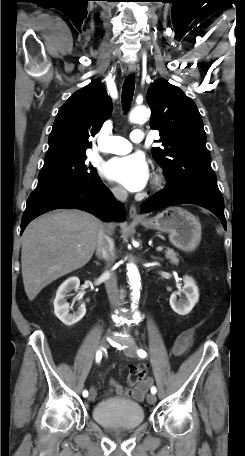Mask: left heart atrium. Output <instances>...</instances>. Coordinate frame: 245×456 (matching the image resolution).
Wrapping results in <instances>:
<instances>
[{
    "mask_svg": "<svg viewBox=\"0 0 245 456\" xmlns=\"http://www.w3.org/2000/svg\"><path fill=\"white\" fill-rule=\"evenodd\" d=\"M103 172L106 178L118 182L132 192L142 190L149 180L148 164L139 153L112 158Z\"/></svg>",
    "mask_w": 245,
    "mask_h": 456,
    "instance_id": "left-heart-atrium-1",
    "label": "left heart atrium"
}]
</instances>
